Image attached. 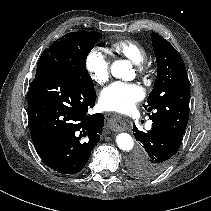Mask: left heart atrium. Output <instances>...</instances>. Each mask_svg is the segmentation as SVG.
<instances>
[{
  "instance_id": "1",
  "label": "left heart atrium",
  "mask_w": 211,
  "mask_h": 211,
  "mask_svg": "<svg viewBox=\"0 0 211 211\" xmlns=\"http://www.w3.org/2000/svg\"><path fill=\"white\" fill-rule=\"evenodd\" d=\"M144 97L143 89L134 83L114 82L100 94V104L108 111L125 113Z\"/></svg>"
}]
</instances>
